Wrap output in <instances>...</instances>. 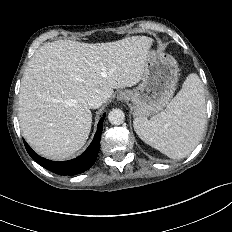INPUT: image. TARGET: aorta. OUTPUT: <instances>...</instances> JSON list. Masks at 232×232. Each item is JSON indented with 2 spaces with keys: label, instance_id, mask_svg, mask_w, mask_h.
I'll list each match as a JSON object with an SVG mask.
<instances>
[{
  "label": "aorta",
  "instance_id": "aorta-1",
  "mask_svg": "<svg viewBox=\"0 0 232 232\" xmlns=\"http://www.w3.org/2000/svg\"><path fill=\"white\" fill-rule=\"evenodd\" d=\"M108 119L111 124L120 125L125 120V114L121 109L115 108L109 112Z\"/></svg>",
  "mask_w": 232,
  "mask_h": 232
}]
</instances>
